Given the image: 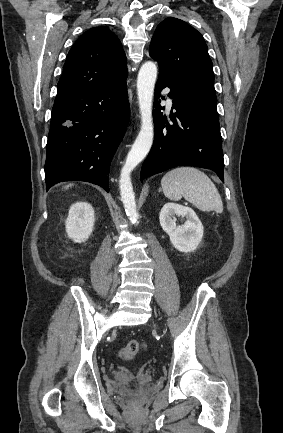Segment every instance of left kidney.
Listing matches in <instances>:
<instances>
[{
    "instance_id": "left-kidney-1",
    "label": "left kidney",
    "mask_w": 283,
    "mask_h": 433,
    "mask_svg": "<svg viewBox=\"0 0 283 433\" xmlns=\"http://www.w3.org/2000/svg\"><path fill=\"white\" fill-rule=\"evenodd\" d=\"M175 215L186 217L182 226L176 225ZM162 229L169 235L173 246L180 252L194 251L203 237V225L190 207L166 203L159 215Z\"/></svg>"
}]
</instances>
